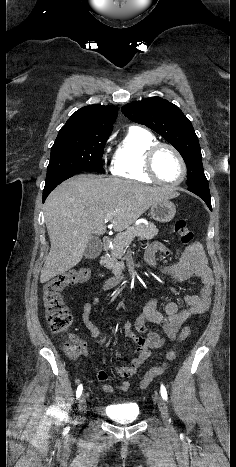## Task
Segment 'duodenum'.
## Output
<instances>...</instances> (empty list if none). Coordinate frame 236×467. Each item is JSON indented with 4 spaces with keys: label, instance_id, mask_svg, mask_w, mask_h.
Here are the masks:
<instances>
[{
    "label": "duodenum",
    "instance_id": "410a0bca",
    "mask_svg": "<svg viewBox=\"0 0 236 467\" xmlns=\"http://www.w3.org/2000/svg\"><path fill=\"white\" fill-rule=\"evenodd\" d=\"M102 248L104 251H107L109 249V238L104 237L102 240ZM127 279V276L125 274H115L108 276L103 279L102 281V289L103 290H110L122 282H124Z\"/></svg>",
    "mask_w": 236,
    "mask_h": 467
}]
</instances>
